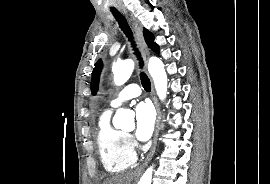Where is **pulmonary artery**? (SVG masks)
Here are the masks:
<instances>
[{
    "label": "pulmonary artery",
    "instance_id": "e3ab8cb5",
    "mask_svg": "<svg viewBox=\"0 0 270 184\" xmlns=\"http://www.w3.org/2000/svg\"><path fill=\"white\" fill-rule=\"evenodd\" d=\"M141 94L140 86L136 83H131L124 87L115 98L110 101V106L116 108L126 100L135 98Z\"/></svg>",
    "mask_w": 270,
    "mask_h": 184
}]
</instances>
